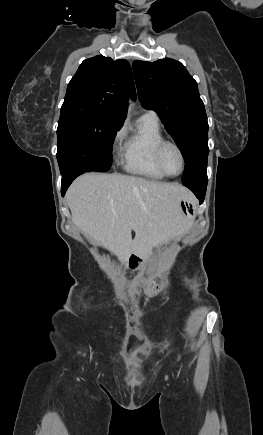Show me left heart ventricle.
I'll return each instance as SVG.
<instances>
[{"mask_svg": "<svg viewBox=\"0 0 263 435\" xmlns=\"http://www.w3.org/2000/svg\"><path fill=\"white\" fill-rule=\"evenodd\" d=\"M162 161L165 169L170 174H177L181 170V158L178 151L172 147L168 146L165 148Z\"/></svg>", "mask_w": 263, "mask_h": 435, "instance_id": "left-heart-ventricle-1", "label": "left heart ventricle"}]
</instances>
